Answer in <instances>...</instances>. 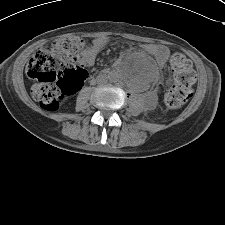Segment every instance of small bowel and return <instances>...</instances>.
I'll use <instances>...</instances> for the list:
<instances>
[{
    "instance_id": "obj_1",
    "label": "small bowel",
    "mask_w": 225,
    "mask_h": 225,
    "mask_svg": "<svg viewBox=\"0 0 225 225\" xmlns=\"http://www.w3.org/2000/svg\"><path fill=\"white\" fill-rule=\"evenodd\" d=\"M109 39L101 36L93 40L91 45L87 46L81 54V63L84 66H91L94 64L95 59L99 52L108 44ZM145 51L153 55L155 62L158 66L165 64L169 57V49L164 45H146ZM127 52L126 55H129Z\"/></svg>"
}]
</instances>
